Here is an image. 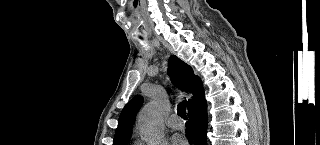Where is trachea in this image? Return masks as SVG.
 Instances as JSON below:
<instances>
[{"instance_id": "obj_1", "label": "trachea", "mask_w": 320, "mask_h": 145, "mask_svg": "<svg viewBox=\"0 0 320 145\" xmlns=\"http://www.w3.org/2000/svg\"><path fill=\"white\" fill-rule=\"evenodd\" d=\"M178 115L184 120H187L185 101H182L178 104Z\"/></svg>"}]
</instances>
